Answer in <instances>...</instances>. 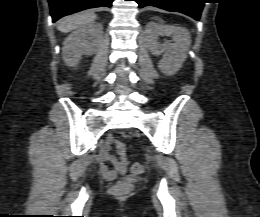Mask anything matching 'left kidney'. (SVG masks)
Wrapping results in <instances>:
<instances>
[{
  "mask_svg": "<svg viewBox=\"0 0 260 217\" xmlns=\"http://www.w3.org/2000/svg\"><path fill=\"white\" fill-rule=\"evenodd\" d=\"M150 36L148 39V47L150 52L155 55H163L159 62V69L166 75H174L182 67L187 58L188 42L179 35V30L157 25L153 22L148 24ZM159 35L172 36L175 43L160 44L158 42Z\"/></svg>",
  "mask_w": 260,
  "mask_h": 217,
  "instance_id": "obj_1",
  "label": "left kidney"
}]
</instances>
